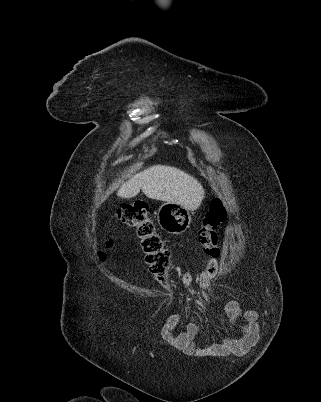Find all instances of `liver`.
Listing matches in <instances>:
<instances>
[{"label":"liver","instance_id":"1","mask_svg":"<svg viewBox=\"0 0 321 402\" xmlns=\"http://www.w3.org/2000/svg\"><path fill=\"white\" fill-rule=\"evenodd\" d=\"M140 190L150 199L176 203L187 210H196L204 198V189L194 177L165 165H154L134 175L119 188L117 196L132 198Z\"/></svg>","mask_w":321,"mask_h":402}]
</instances>
